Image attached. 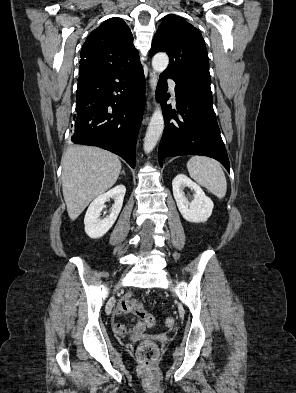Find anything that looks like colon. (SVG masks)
Masks as SVG:
<instances>
[{
    "label": "colon",
    "mask_w": 296,
    "mask_h": 393,
    "mask_svg": "<svg viewBox=\"0 0 296 393\" xmlns=\"http://www.w3.org/2000/svg\"><path fill=\"white\" fill-rule=\"evenodd\" d=\"M120 305L123 312H133L135 316L141 321H143L146 326L153 327L155 325L156 320L154 315L146 312L138 301L125 298L121 300ZM165 324L167 327H172L174 325V319L167 318ZM157 353V345L152 341L143 342L137 350V355L139 359L147 366L153 363L157 356Z\"/></svg>",
    "instance_id": "colon-1"
}]
</instances>
